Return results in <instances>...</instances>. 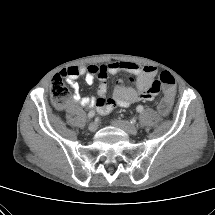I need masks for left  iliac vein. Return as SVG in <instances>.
<instances>
[{"mask_svg": "<svg viewBox=\"0 0 215 215\" xmlns=\"http://www.w3.org/2000/svg\"><path fill=\"white\" fill-rule=\"evenodd\" d=\"M112 124L122 130H124L128 134H136L138 129L132 125L130 122L120 119H115L112 121Z\"/></svg>", "mask_w": 215, "mask_h": 215, "instance_id": "left-iliac-vein-1", "label": "left iliac vein"}]
</instances>
